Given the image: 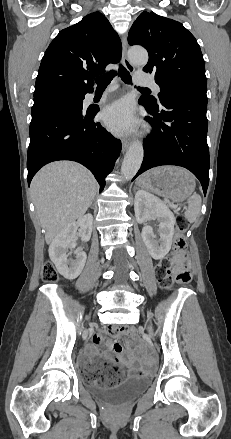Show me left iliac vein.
Segmentation results:
<instances>
[{"mask_svg":"<svg viewBox=\"0 0 231 439\" xmlns=\"http://www.w3.org/2000/svg\"><path fill=\"white\" fill-rule=\"evenodd\" d=\"M148 331H149V333H150V335L152 336V337H154V331H153V328H152V326H148Z\"/></svg>","mask_w":231,"mask_h":439,"instance_id":"1","label":"left iliac vein"}]
</instances>
